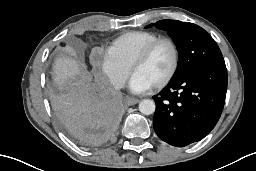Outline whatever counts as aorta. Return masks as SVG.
<instances>
[{
	"label": "aorta",
	"instance_id": "762f6f07",
	"mask_svg": "<svg viewBox=\"0 0 256 171\" xmlns=\"http://www.w3.org/2000/svg\"><path fill=\"white\" fill-rule=\"evenodd\" d=\"M155 102L150 99H144L139 103V111L144 115H151L155 112Z\"/></svg>",
	"mask_w": 256,
	"mask_h": 171
}]
</instances>
